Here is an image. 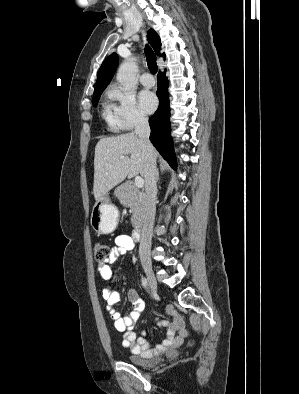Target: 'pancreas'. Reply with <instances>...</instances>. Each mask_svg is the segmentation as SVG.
I'll use <instances>...</instances> for the list:
<instances>
[{
  "instance_id": "1",
  "label": "pancreas",
  "mask_w": 299,
  "mask_h": 394,
  "mask_svg": "<svg viewBox=\"0 0 299 394\" xmlns=\"http://www.w3.org/2000/svg\"><path fill=\"white\" fill-rule=\"evenodd\" d=\"M118 196H121L125 206L131 208L132 212V226L137 228L144 214V196L134 185L130 182L123 183L116 191Z\"/></svg>"
}]
</instances>
